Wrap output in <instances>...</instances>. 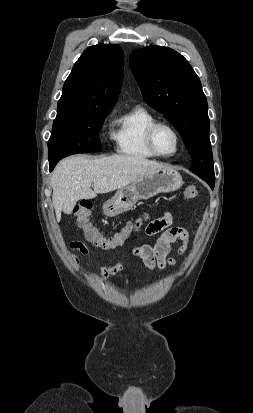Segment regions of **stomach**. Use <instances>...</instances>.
<instances>
[{"label":"stomach","mask_w":253,"mask_h":413,"mask_svg":"<svg viewBox=\"0 0 253 413\" xmlns=\"http://www.w3.org/2000/svg\"><path fill=\"white\" fill-rule=\"evenodd\" d=\"M183 184L181 175L174 169L164 168L140 176L103 204L106 216L113 217L130 210L138 200L152 198L159 193L178 190Z\"/></svg>","instance_id":"0dacf381"}]
</instances>
